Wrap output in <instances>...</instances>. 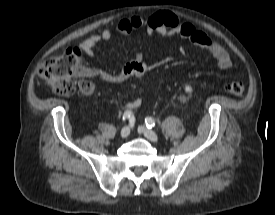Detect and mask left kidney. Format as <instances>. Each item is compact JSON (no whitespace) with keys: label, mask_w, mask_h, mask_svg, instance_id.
<instances>
[{"label":"left kidney","mask_w":275,"mask_h":215,"mask_svg":"<svg viewBox=\"0 0 275 215\" xmlns=\"http://www.w3.org/2000/svg\"><path fill=\"white\" fill-rule=\"evenodd\" d=\"M185 91L188 93H191L193 91L192 87L190 85L185 86Z\"/></svg>","instance_id":"5707ae66"}]
</instances>
